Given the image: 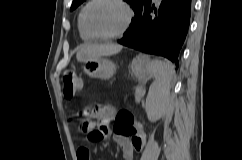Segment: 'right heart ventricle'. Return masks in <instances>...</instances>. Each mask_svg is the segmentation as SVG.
I'll list each match as a JSON object with an SVG mask.
<instances>
[{"label":"right heart ventricle","instance_id":"e07e8e85","mask_svg":"<svg viewBox=\"0 0 242 160\" xmlns=\"http://www.w3.org/2000/svg\"><path fill=\"white\" fill-rule=\"evenodd\" d=\"M77 28H78V32L80 35V38L84 41H88L90 39H92L90 36L87 35V33L83 30L82 26H81V22H80V15L78 16V20H77Z\"/></svg>","mask_w":242,"mask_h":160}]
</instances>
